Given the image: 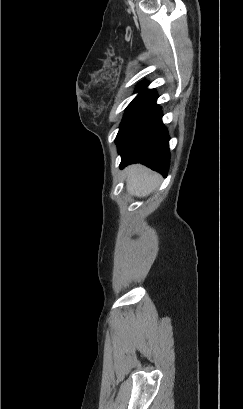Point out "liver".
Returning a JSON list of instances; mask_svg holds the SVG:
<instances>
[{
  "label": "liver",
  "mask_w": 243,
  "mask_h": 409,
  "mask_svg": "<svg viewBox=\"0 0 243 409\" xmlns=\"http://www.w3.org/2000/svg\"><path fill=\"white\" fill-rule=\"evenodd\" d=\"M127 191L138 197H144L152 192L160 182V176L143 165L135 164L127 167Z\"/></svg>",
  "instance_id": "obj_1"
}]
</instances>
